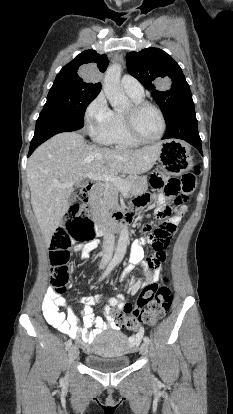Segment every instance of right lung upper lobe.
Here are the masks:
<instances>
[{"mask_svg":"<svg viewBox=\"0 0 233 414\" xmlns=\"http://www.w3.org/2000/svg\"><path fill=\"white\" fill-rule=\"evenodd\" d=\"M108 66V59L105 54L100 55L96 51L86 50L79 54L73 61L65 65L56 77V81H64L72 85L82 86L89 89L101 90V83L91 82L89 79L94 72H105ZM81 67L88 69L84 78L78 71Z\"/></svg>","mask_w":233,"mask_h":414,"instance_id":"right-lung-upper-lobe-1","label":"right lung upper lobe"}]
</instances>
